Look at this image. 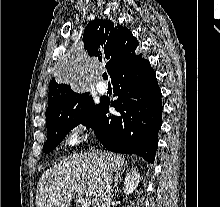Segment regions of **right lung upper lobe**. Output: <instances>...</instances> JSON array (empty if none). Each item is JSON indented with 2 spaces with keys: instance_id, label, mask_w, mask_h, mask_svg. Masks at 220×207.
<instances>
[{
  "instance_id": "1",
  "label": "right lung upper lobe",
  "mask_w": 220,
  "mask_h": 207,
  "mask_svg": "<svg viewBox=\"0 0 220 207\" xmlns=\"http://www.w3.org/2000/svg\"><path fill=\"white\" fill-rule=\"evenodd\" d=\"M84 50L90 58L106 63L111 79L115 72L131 57L136 55L138 40L125 26L107 19H95L87 24L83 35ZM76 94L67 83L53 78L49 84L46 115L57 109L67 98Z\"/></svg>"
}]
</instances>
